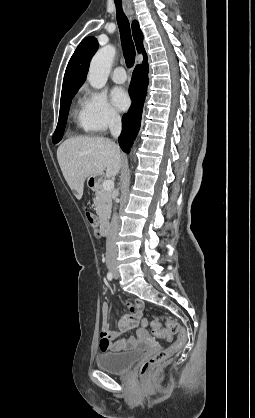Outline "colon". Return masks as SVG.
Instances as JSON below:
<instances>
[{
    "instance_id": "colon-1",
    "label": "colon",
    "mask_w": 255,
    "mask_h": 418,
    "mask_svg": "<svg viewBox=\"0 0 255 418\" xmlns=\"http://www.w3.org/2000/svg\"><path fill=\"white\" fill-rule=\"evenodd\" d=\"M85 218L92 228H96L95 215L89 209H85ZM162 320L165 327H162L160 320L151 322L153 333L164 340H171L176 335V340L166 349L159 351L155 355L143 359L137 367V372L141 377L147 376L157 365L168 359L175 352L184 347L187 342V331L173 318L164 317Z\"/></svg>"
}]
</instances>
